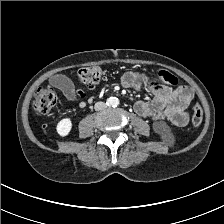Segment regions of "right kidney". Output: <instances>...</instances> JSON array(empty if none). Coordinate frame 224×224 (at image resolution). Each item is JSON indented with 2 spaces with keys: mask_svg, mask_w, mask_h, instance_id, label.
I'll use <instances>...</instances> for the list:
<instances>
[{
  "mask_svg": "<svg viewBox=\"0 0 224 224\" xmlns=\"http://www.w3.org/2000/svg\"><path fill=\"white\" fill-rule=\"evenodd\" d=\"M71 129L72 122L70 118L62 119L61 121H59L56 127L57 133L62 137L67 136L70 133Z\"/></svg>",
  "mask_w": 224,
  "mask_h": 224,
  "instance_id": "right-kidney-1",
  "label": "right kidney"
}]
</instances>
